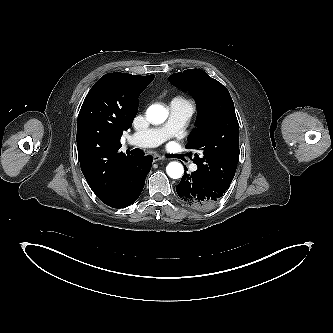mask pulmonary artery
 Listing matches in <instances>:
<instances>
[{"label":"pulmonary artery","mask_w":333,"mask_h":333,"mask_svg":"<svg viewBox=\"0 0 333 333\" xmlns=\"http://www.w3.org/2000/svg\"><path fill=\"white\" fill-rule=\"evenodd\" d=\"M193 112L194 106L191 102L175 98L170 103L167 122L161 127L134 133L130 137V143L139 147H156L183 129ZM190 169L195 171L197 166L191 165Z\"/></svg>","instance_id":"pulmonary-artery-1"}]
</instances>
